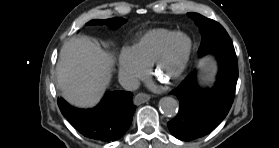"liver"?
Returning <instances> with one entry per match:
<instances>
[{
  "mask_svg": "<svg viewBox=\"0 0 279 148\" xmlns=\"http://www.w3.org/2000/svg\"><path fill=\"white\" fill-rule=\"evenodd\" d=\"M112 56L86 37L65 42L56 67L62 95L76 106H92L110 80Z\"/></svg>",
  "mask_w": 279,
  "mask_h": 148,
  "instance_id": "liver-1",
  "label": "liver"
}]
</instances>
